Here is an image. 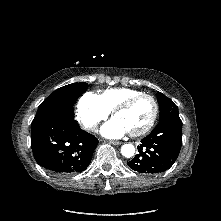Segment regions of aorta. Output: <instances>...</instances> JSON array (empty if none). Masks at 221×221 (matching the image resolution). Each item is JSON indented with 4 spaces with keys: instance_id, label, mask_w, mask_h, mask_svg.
I'll return each instance as SVG.
<instances>
[{
    "instance_id": "762f6f07",
    "label": "aorta",
    "mask_w": 221,
    "mask_h": 221,
    "mask_svg": "<svg viewBox=\"0 0 221 221\" xmlns=\"http://www.w3.org/2000/svg\"><path fill=\"white\" fill-rule=\"evenodd\" d=\"M134 153H135V147L132 144H124L121 147V154L126 158L132 157Z\"/></svg>"
}]
</instances>
